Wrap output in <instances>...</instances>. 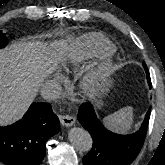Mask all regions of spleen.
<instances>
[{
	"instance_id": "1",
	"label": "spleen",
	"mask_w": 165,
	"mask_h": 165,
	"mask_svg": "<svg viewBox=\"0 0 165 165\" xmlns=\"http://www.w3.org/2000/svg\"><path fill=\"white\" fill-rule=\"evenodd\" d=\"M133 122V108L124 107L104 118L105 125L116 132L126 133L131 130Z\"/></svg>"
}]
</instances>
